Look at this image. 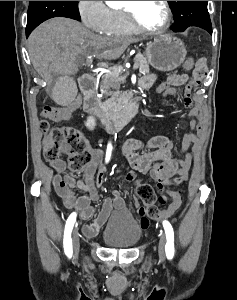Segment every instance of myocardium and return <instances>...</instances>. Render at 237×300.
I'll list each match as a JSON object with an SVG mask.
<instances>
[{
  "mask_svg": "<svg viewBox=\"0 0 237 300\" xmlns=\"http://www.w3.org/2000/svg\"><path fill=\"white\" fill-rule=\"evenodd\" d=\"M135 3H136L135 1H131L129 5H125L123 7V11L128 21L136 31L147 32L152 34H162L168 30L172 20V10L169 1H163L165 11H166L165 22L161 27L157 29L148 28L139 22L135 11Z\"/></svg>",
  "mask_w": 237,
  "mask_h": 300,
  "instance_id": "myocardium-1",
  "label": "myocardium"
}]
</instances>
